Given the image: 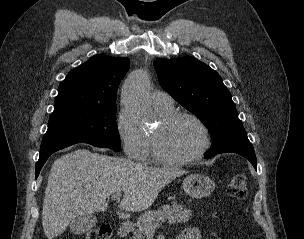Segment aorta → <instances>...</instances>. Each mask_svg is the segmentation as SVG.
Instances as JSON below:
<instances>
[{
	"instance_id": "aorta-1",
	"label": "aorta",
	"mask_w": 304,
	"mask_h": 239,
	"mask_svg": "<svg viewBox=\"0 0 304 239\" xmlns=\"http://www.w3.org/2000/svg\"><path fill=\"white\" fill-rule=\"evenodd\" d=\"M149 78L144 71H136L125 81L122 87L121 101L129 108L141 124L149 122L151 110L148 102Z\"/></svg>"
}]
</instances>
